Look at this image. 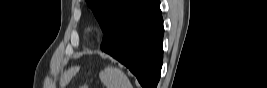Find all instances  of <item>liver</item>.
I'll return each instance as SVG.
<instances>
[{
    "label": "liver",
    "mask_w": 267,
    "mask_h": 88,
    "mask_svg": "<svg viewBox=\"0 0 267 88\" xmlns=\"http://www.w3.org/2000/svg\"><path fill=\"white\" fill-rule=\"evenodd\" d=\"M74 74V69L71 68L69 69L67 72H65L64 74H62V78H61V86H64L68 81L69 79L73 76Z\"/></svg>",
    "instance_id": "6515ba94"
}]
</instances>
